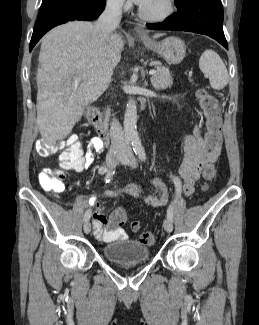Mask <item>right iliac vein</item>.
<instances>
[{
    "label": "right iliac vein",
    "mask_w": 259,
    "mask_h": 325,
    "mask_svg": "<svg viewBox=\"0 0 259 325\" xmlns=\"http://www.w3.org/2000/svg\"><path fill=\"white\" fill-rule=\"evenodd\" d=\"M118 159H119V156H116L114 154L109 155L106 158V166L108 168H112L115 165V163L118 161ZM90 231H91V224H90L89 221H86L85 224H84V232L86 234H89Z\"/></svg>",
    "instance_id": "63e3f726"
}]
</instances>
